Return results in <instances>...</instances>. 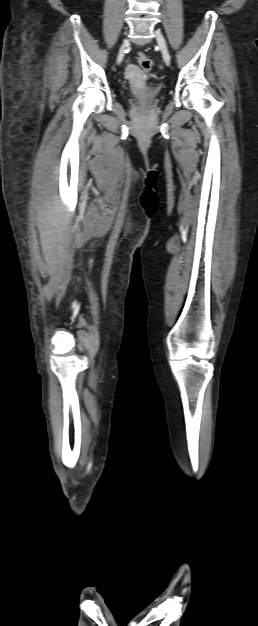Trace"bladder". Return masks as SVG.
Wrapping results in <instances>:
<instances>
[{
    "label": "bladder",
    "mask_w": 258,
    "mask_h": 626,
    "mask_svg": "<svg viewBox=\"0 0 258 626\" xmlns=\"http://www.w3.org/2000/svg\"><path fill=\"white\" fill-rule=\"evenodd\" d=\"M160 93V87L156 84L148 85L138 96L140 102H152Z\"/></svg>",
    "instance_id": "1"
}]
</instances>
